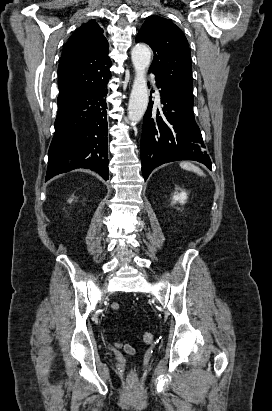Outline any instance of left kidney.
Instances as JSON below:
<instances>
[{"mask_svg": "<svg viewBox=\"0 0 272 411\" xmlns=\"http://www.w3.org/2000/svg\"><path fill=\"white\" fill-rule=\"evenodd\" d=\"M187 199V193L185 191H181L180 193L175 192L173 195V203L179 202L181 204H184Z\"/></svg>", "mask_w": 272, "mask_h": 411, "instance_id": "left-kidney-1", "label": "left kidney"}]
</instances>
